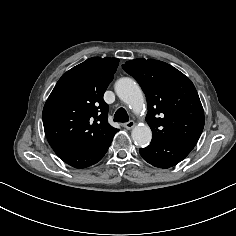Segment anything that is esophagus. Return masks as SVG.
<instances>
[{
  "instance_id": "34e87169",
  "label": "esophagus",
  "mask_w": 236,
  "mask_h": 236,
  "mask_svg": "<svg viewBox=\"0 0 236 236\" xmlns=\"http://www.w3.org/2000/svg\"><path fill=\"white\" fill-rule=\"evenodd\" d=\"M135 126V122L133 120H130L124 124V127L128 130L132 129Z\"/></svg>"
}]
</instances>
